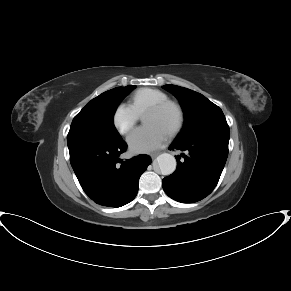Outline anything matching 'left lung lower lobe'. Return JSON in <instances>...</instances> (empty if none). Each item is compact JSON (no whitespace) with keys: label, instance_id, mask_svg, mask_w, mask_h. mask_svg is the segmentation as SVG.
Here are the masks:
<instances>
[{"label":"left lung lower lobe","instance_id":"left-lung-lower-lobe-1","mask_svg":"<svg viewBox=\"0 0 291 291\" xmlns=\"http://www.w3.org/2000/svg\"><path fill=\"white\" fill-rule=\"evenodd\" d=\"M230 132L205 135L187 142H174L169 149L184 151L173 174L162 180L165 193L182 203L208 196L218 183L228 156Z\"/></svg>","mask_w":291,"mask_h":291}]
</instances>
